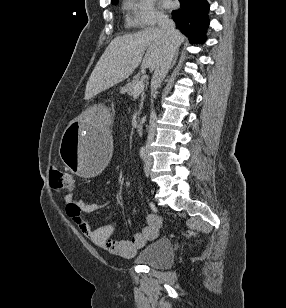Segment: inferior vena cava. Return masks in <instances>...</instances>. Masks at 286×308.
<instances>
[{
    "instance_id": "1",
    "label": "inferior vena cava",
    "mask_w": 286,
    "mask_h": 308,
    "mask_svg": "<svg viewBox=\"0 0 286 308\" xmlns=\"http://www.w3.org/2000/svg\"><path fill=\"white\" fill-rule=\"evenodd\" d=\"M158 29L165 37V48L161 59L157 63L154 74L152 77V86L154 90H157L161 86L166 74L168 73L174 56L178 48L177 34L178 31L175 29V23L165 15H161L158 18ZM157 116L155 110L152 108L150 115V127L147 137V147L150 146L151 142L155 137Z\"/></svg>"
}]
</instances>
